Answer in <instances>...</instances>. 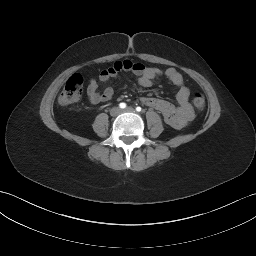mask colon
Wrapping results in <instances>:
<instances>
[{
  "label": "colon",
  "instance_id": "1",
  "mask_svg": "<svg viewBox=\"0 0 256 256\" xmlns=\"http://www.w3.org/2000/svg\"><path fill=\"white\" fill-rule=\"evenodd\" d=\"M83 78L80 74H73L66 81L64 88L59 96L61 105H69L77 102L82 95ZM192 104L197 110L204 109L206 100L203 94L196 93L192 98Z\"/></svg>",
  "mask_w": 256,
  "mask_h": 256
}]
</instances>
